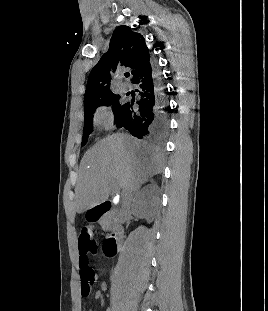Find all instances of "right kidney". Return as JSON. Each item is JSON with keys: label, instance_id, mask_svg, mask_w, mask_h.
Here are the masks:
<instances>
[{"label": "right kidney", "instance_id": "obj_1", "mask_svg": "<svg viewBox=\"0 0 268 311\" xmlns=\"http://www.w3.org/2000/svg\"><path fill=\"white\" fill-rule=\"evenodd\" d=\"M160 201V189L155 184L145 186L137 192L133 201V214L140 218H145L147 222H152Z\"/></svg>", "mask_w": 268, "mask_h": 311}]
</instances>
